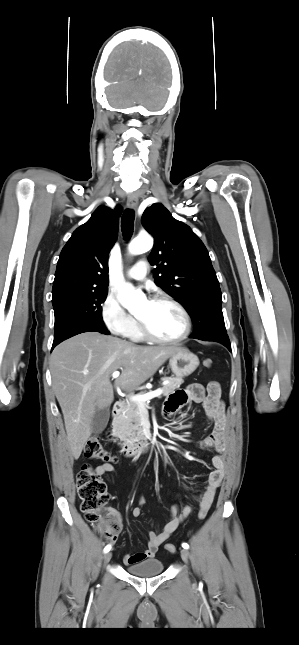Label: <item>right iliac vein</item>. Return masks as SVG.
I'll list each match as a JSON object with an SVG mask.
<instances>
[{
    "label": "right iliac vein",
    "mask_w": 299,
    "mask_h": 645,
    "mask_svg": "<svg viewBox=\"0 0 299 645\" xmlns=\"http://www.w3.org/2000/svg\"><path fill=\"white\" fill-rule=\"evenodd\" d=\"M111 557H112V553H111V552H107V553L104 555V562H106V563H107V562H109V561H110V559H111Z\"/></svg>",
    "instance_id": "right-iliac-vein-1"
}]
</instances>
